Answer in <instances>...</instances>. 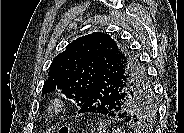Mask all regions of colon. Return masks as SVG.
Here are the masks:
<instances>
[{
  "mask_svg": "<svg viewBox=\"0 0 184 133\" xmlns=\"http://www.w3.org/2000/svg\"><path fill=\"white\" fill-rule=\"evenodd\" d=\"M60 133H68V130H67L66 128H62V129L60 130Z\"/></svg>",
  "mask_w": 184,
  "mask_h": 133,
  "instance_id": "obj_1",
  "label": "colon"
}]
</instances>
